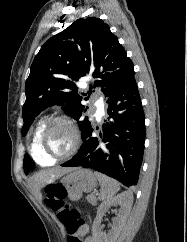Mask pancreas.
Returning a JSON list of instances; mask_svg holds the SVG:
<instances>
[{
  "instance_id": "cf45deb5",
  "label": "pancreas",
  "mask_w": 187,
  "mask_h": 242,
  "mask_svg": "<svg viewBox=\"0 0 187 242\" xmlns=\"http://www.w3.org/2000/svg\"><path fill=\"white\" fill-rule=\"evenodd\" d=\"M87 200L93 205L96 206L97 204V198L94 195H88Z\"/></svg>"
}]
</instances>
